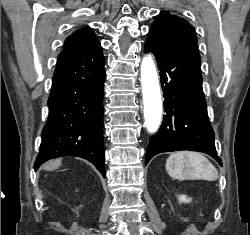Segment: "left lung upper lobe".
I'll list each match as a JSON object with an SVG mask.
<instances>
[{
	"label": "left lung upper lobe",
	"instance_id": "obj_1",
	"mask_svg": "<svg viewBox=\"0 0 250 235\" xmlns=\"http://www.w3.org/2000/svg\"><path fill=\"white\" fill-rule=\"evenodd\" d=\"M148 37L168 45L181 43L197 44L193 26L185 19L168 11H162L156 16L150 27Z\"/></svg>",
	"mask_w": 250,
	"mask_h": 235
}]
</instances>
